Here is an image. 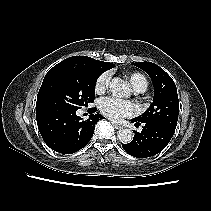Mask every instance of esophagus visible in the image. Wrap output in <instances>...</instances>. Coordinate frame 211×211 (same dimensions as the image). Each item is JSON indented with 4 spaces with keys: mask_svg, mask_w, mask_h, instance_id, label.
<instances>
[{
    "mask_svg": "<svg viewBox=\"0 0 211 211\" xmlns=\"http://www.w3.org/2000/svg\"><path fill=\"white\" fill-rule=\"evenodd\" d=\"M112 124L114 125V127H115L116 129H122V128H123V126L120 125V124H117V123H114V122H112Z\"/></svg>",
    "mask_w": 211,
    "mask_h": 211,
    "instance_id": "1",
    "label": "esophagus"
}]
</instances>
